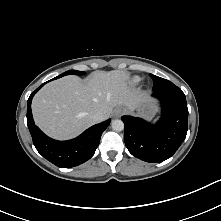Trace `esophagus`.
I'll return each mask as SVG.
<instances>
[{"instance_id":"34e87169","label":"esophagus","mask_w":221,"mask_h":221,"mask_svg":"<svg viewBox=\"0 0 221 221\" xmlns=\"http://www.w3.org/2000/svg\"><path fill=\"white\" fill-rule=\"evenodd\" d=\"M123 109H121V108H117V109H115V111H114V116L115 117H120L122 114H123Z\"/></svg>"}]
</instances>
